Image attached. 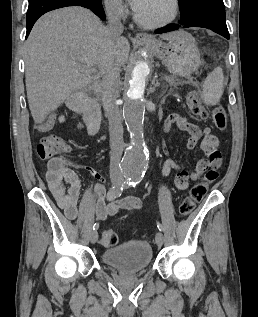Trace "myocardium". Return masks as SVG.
Listing matches in <instances>:
<instances>
[{
  "instance_id": "myocardium-1",
  "label": "myocardium",
  "mask_w": 258,
  "mask_h": 317,
  "mask_svg": "<svg viewBox=\"0 0 258 317\" xmlns=\"http://www.w3.org/2000/svg\"><path fill=\"white\" fill-rule=\"evenodd\" d=\"M154 1H156V0H143V1H141V3H139V5L134 10L135 11L134 18H135L136 23L139 26H141V27H143V28H145L147 30H150V31H158V30L164 29L171 22L174 21V19L177 16V13H178V2L176 0H166V1H168V2H170L172 4V13H171V15L167 19H165L164 21H162L160 24H158L156 26H147L141 20L139 11H140V9L142 7L153 3Z\"/></svg>"
}]
</instances>
